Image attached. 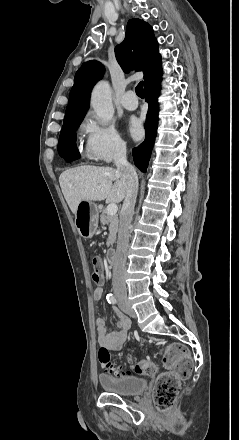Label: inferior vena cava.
I'll return each instance as SVG.
<instances>
[{
	"label": "inferior vena cava",
	"mask_w": 239,
	"mask_h": 440,
	"mask_svg": "<svg viewBox=\"0 0 239 440\" xmlns=\"http://www.w3.org/2000/svg\"><path fill=\"white\" fill-rule=\"evenodd\" d=\"M114 164L125 184L126 196L120 214L117 250L113 262L112 286L113 292L118 298V307H131L127 298L124 274L129 242V226L132 222L138 192V176L133 166L127 162L126 142H121L114 158Z\"/></svg>",
	"instance_id": "1"
}]
</instances>
